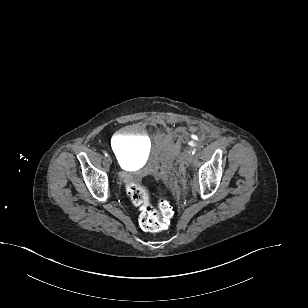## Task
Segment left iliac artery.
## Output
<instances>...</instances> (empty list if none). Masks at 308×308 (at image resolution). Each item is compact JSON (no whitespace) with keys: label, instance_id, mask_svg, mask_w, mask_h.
Returning a JSON list of instances; mask_svg holds the SVG:
<instances>
[{"label":"left iliac artery","instance_id":"44dca946","mask_svg":"<svg viewBox=\"0 0 308 308\" xmlns=\"http://www.w3.org/2000/svg\"><path fill=\"white\" fill-rule=\"evenodd\" d=\"M195 152H196V149L194 148V149L192 150V154H195Z\"/></svg>","mask_w":308,"mask_h":308}]
</instances>
